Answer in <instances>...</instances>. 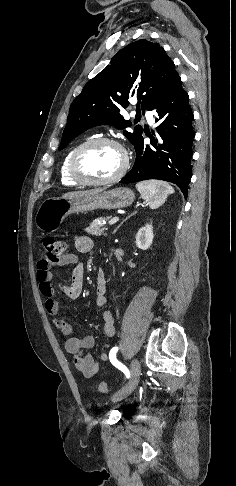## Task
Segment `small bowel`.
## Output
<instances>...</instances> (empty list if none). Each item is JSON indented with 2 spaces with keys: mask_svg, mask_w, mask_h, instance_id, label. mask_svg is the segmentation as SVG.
Masks as SVG:
<instances>
[{
  "mask_svg": "<svg viewBox=\"0 0 236 486\" xmlns=\"http://www.w3.org/2000/svg\"><path fill=\"white\" fill-rule=\"evenodd\" d=\"M76 249L81 253H88L94 247L93 240L88 236H77L74 241ZM72 265L71 278L68 283L61 284V291L70 299H77L81 296L84 282V265L75 254H65L58 262L52 263L43 258L37 263V279L40 292L45 296V309L52 317L53 325L66 338L65 350L73 356V363L76 369L86 378H91L100 370V364L89 353L94 346V337L86 336L79 338L74 336L72 325L58 317L60 304L55 298V291L52 286V266ZM108 300L106 297V278L102 270L98 272L96 284V305L102 310L103 331L107 338L115 334V321L112 313L106 309ZM109 344L106 343L100 353V359H109Z\"/></svg>",
  "mask_w": 236,
  "mask_h": 486,
  "instance_id": "obj_1",
  "label": "small bowel"
}]
</instances>
